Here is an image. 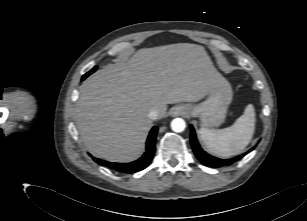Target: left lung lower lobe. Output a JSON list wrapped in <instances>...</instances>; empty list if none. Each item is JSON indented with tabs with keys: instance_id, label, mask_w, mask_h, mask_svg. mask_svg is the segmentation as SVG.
I'll return each instance as SVG.
<instances>
[{
	"instance_id": "1",
	"label": "left lung lower lobe",
	"mask_w": 307,
	"mask_h": 221,
	"mask_svg": "<svg viewBox=\"0 0 307 221\" xmlns=\"http://www.w3.org/2000/svg\"><path fill=\"white\" fill-rule=\"evenodd\" d=\"M190 141H191V145L193 148V151L196 155V157L198 158V160L204 164L207 167H214V168H218V167H222V166H226V165H231L232 163L240 160L242 157H244L247 153H249L251 150H249L248 152L239 155L237 157H234L232 159H219L216 158L214 156H211L209 154H207L205 151L202 150V148L200 147L197 139H196V134H195V130L193 128V126H191V137H190Z\"/></svg>"
}]
</instances>
